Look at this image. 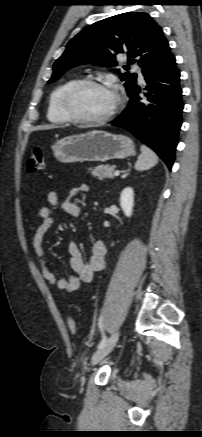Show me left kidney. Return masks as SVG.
Wrapping results in <instances>:
<instances>
[{
	"mask_svg": "<svg viewBox=\"0 0 202 437\" xmlns=\"http://www.w3.org/2000/svg\"><path fill=\"white\" fill-rule=\"evenodd\" d=\"M120 206L125 216L131 217L134 206V192L131 187H127L121 192Z\"/></svg>",
	"mask_w": 202,
	"mask_h": 437,
	"instance_id": "left-kidney-1",
	"label": "left kidney"
}]
</instances>
